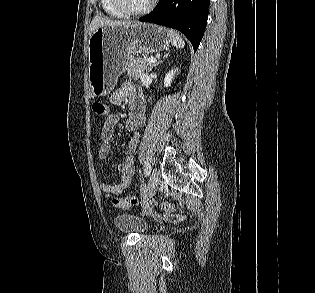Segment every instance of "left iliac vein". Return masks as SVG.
<instances>
[{
  "mask_svg": "<svg viewBox=\"0 0 315 293\" xmlns=\"http://www.w3.org/2000/svg\"><path fill=\"white\" fill-rule=\"evenodd\" d=\"M159 184V172L157 169L152 171L150 180H149V194H152Z\"/></svg>",
  "mask_w": 315,
  "mask_h": 293,
  "instance_id": "4c4485c4",
  "label": "left iliac vein"
}]
</instances>
